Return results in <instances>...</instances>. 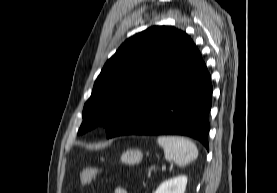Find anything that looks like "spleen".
Returning <instances> with one entry per match:
<instances>
[{"instance_id": "spleen-1", "label": "spleen", "mask_w": 277, "mask_h": 193, "mask_svg": "<svg viewBox=\"0 0 277 193\" xmlns=\"http://www.w3.org/2000/svg\"><path fill=\"white\" fill-rule=\"evenodd\" d=\"M157 142L164 150L165 159L175 161L178 166H185L198 157L196 145L185 137L159 136Z\"/></svg>"}]
</instances>
